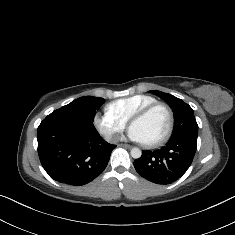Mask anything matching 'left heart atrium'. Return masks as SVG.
Wrapping results in <instances>:
<instances>
[{
  "instance_id": "39dd6f15",
  "label": "left heart atrium",
  "mask_w": 235,
  "mask_h": 235,
  "mask_svg": "<svg viewBox=\"0 0 235 235\" xmlns=\"http://www.w3.org/2000/svg\"><path fill=\"white\" fill-rule=\"evenodd\" d=\"M127 138L133 142L143 143V139L140 133L133 126L130 127L127 133Z\"/></svg>"
}]
</instances>
